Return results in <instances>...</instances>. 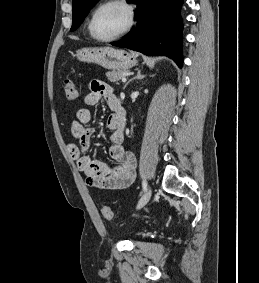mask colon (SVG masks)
Returning a JSON list of instances; mask_svg holds the SVG:
<instances>
[{"mask_svg": "<svg viewBox=\"0 0 259 283\" xmlns=\"http://www.w3.org/2000/svg\"><path fill=\"white\" fill-rule=\"evenodd\" d=\"M64 92H65V97L68 101L72 102L76 99L77 87H76L75 82L72 79L70 78L65 79ZM101 212L105 218L107 219L112 218V211L108 205H103L101 207Z\"/></svg>", "mask_w": 259, "mask_h": 283, "instance_id": "5ec220e1", "label": "colon"}]
</instances>
